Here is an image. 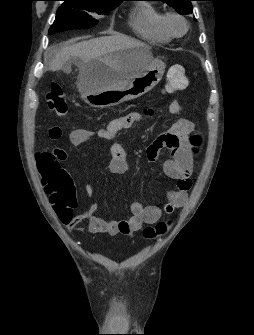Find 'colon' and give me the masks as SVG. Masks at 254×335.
<instances>
[{
    "label": "colon",
    "instance_id": "colon-1",
    "mask_svg": "<svg viewBox=\"0 0 254 335\" xmlns=\"http://www.w3.org/2000/svg\"><path fill=\"white\" fill-rule=\"evenodd\" d=\"M188 79L185 68L182 65H173L169 68L167 74L166 92L174 93L186 88ZM49 109L59 116H65L68 113V104L64 91L61 87L55 85L50 88L46 96ZM181 108V107H180ZM202 143V138L198 134H193L189 138V145L193 153H197ZM61 150L53 149L38 155L37 167L42 178L44 190L52 198L54 208L61 212V208L68 204L74 206L71 200L72 190L70 179L65 169L60 165L58 157ZM170 227L169 221H160L154 226H148L143 233L146 238H155L163 235Z\"/></svg>",
    "mask_w": 254,
    "mask_h": 335
}]
</instances>
